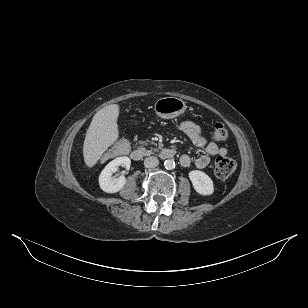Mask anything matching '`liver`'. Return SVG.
<instances>
[{
  "instance_id": "liver-1",
  "label": "liver",
  "mask_w": 308,
  "mask_h": 308,
  "mask_svg": "<svg viewBox=\"0 0 308 308\" xmlns=\"http://www.w3.org/2000/svg\"><path fill=\"white\" fill-rule=\"evenodd\" d=\"M118 116L117 104L106 106L94 115L83 145V156L87 167H93L108 147L118 139Z\"/></svg>"
}]
</instances>
